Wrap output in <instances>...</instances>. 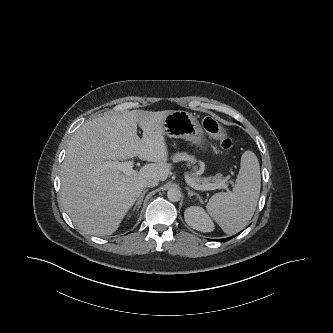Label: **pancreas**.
<instances>
[{
  "mask_svg": "<svg viewBox=\"0 0 333 333\" xmlns=\"http://www.w3.org/2000/svg\"><path fill=\"white\" fill-rule=\"evenodd\" d=\"M172 160L174 162L188 161L189 163H194L195 158L193 156L188 155L185 152H181L174 154ZM192 180L199 185L210 184L211 181H214L215 184H219L221 182L226 181V179L222 178V175H217L214 177H199L195 174H192Z\"/></svg>",
  "mask_w": 333,
  "mask_h": 333,
  "instance_id": "cf45deb5",
  "label": "pancreas"
}]
</instances>
